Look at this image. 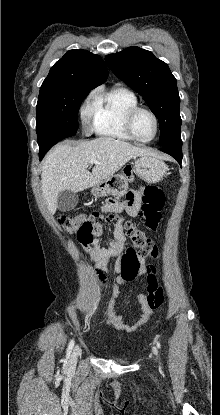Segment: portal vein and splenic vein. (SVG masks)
I'll list each match as a JSON object with an SVG mask.
<instances>
[{
	"label": "portal vein and splenic vein",
	"mask_w": 220,
	"mask_h": 415,
	"mask_svg": "<svg viewBox=\"0 0 220 415\" xmlns=\"http://www.w3.org/2000/svg\"><path fill=\"white\" fill-rule=\"evenodd\" d=\"M91 164H99V161H97L96 159H91Z\"/></svg>",
	"instance_id": "1"
}]
</instances>
